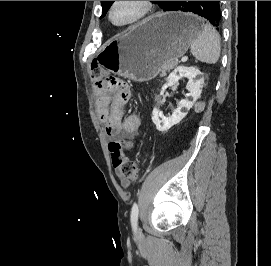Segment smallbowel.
I'll return each instance as SVG.
<instances>
[{
	"label": "small bowel",
	"instance_id": "obj_1",
	"mask_svg": "<svg viewBox=\"0 0 271 266\" xmlns=\"http://www.w3.org/2000/svg\"><path fill=\"white\" fill-rule=\"evenodd\" d=\"M96 111L99 119L105 123V133L114 137L121 131L130 138H134L141 126V116L138 112H131L125 116V105L129 99L118 97L110 92H102L96 89ZM123 186L129 184V180H121Z\"/></svg>",
	"mask_w": 271,
	"mask_h": 266
}]
</instances>
